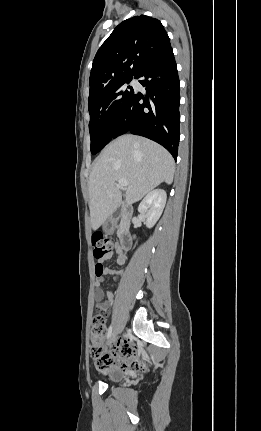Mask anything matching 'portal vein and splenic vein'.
I'll return each instance as SVG.
<instances>
[{"mask_svg":"<svg viewBox=\"0 0 261 431\" xmlns=\"http://www.w3.org/2000/svg\"><path fill=\"white\" fill-rule=\"evenodd\" d=\"M118 183L122 187H127L129 185V182L126 179H124V178L119 179Z\"/></svg>","mask_w":261,"mask_h":431,"instance_id":"18ae733b","label":"portal vein and splenic vein"}]
</instances>
